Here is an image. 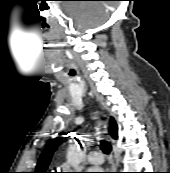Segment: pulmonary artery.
<instances>
[{
	"label": "pulmonary artery",
	"instance_id": "obj_1",
	"mask_svg": "<svg viewBox=\"0 0 170 173\" xmlns=\"http://www.w3.org/2000/svg\"><path fill=\"white\" fill-rule=\"evenodd\" d=\"M87 160L92 165H101L104 161L103 155L98 150H92L87 155Z\"/></svg>",
	"mask_w": 170,
	"mask_h": 173
}]
</instances>
